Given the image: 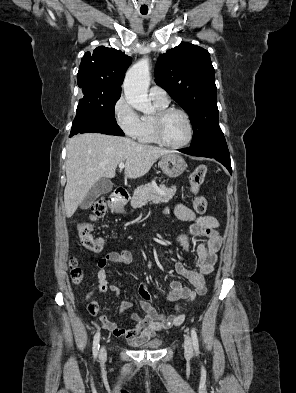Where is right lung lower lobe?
<instances>
[{"label": "right lung lower lobe", "mask_w": 296, "mask_h": 393, "mask_svg": "<svg viewBox=\"0 0 296 393\" xmlns=\"http://www.w3.org/2000/svg\"><path fill=\"white\" fill-rule=\"evenodd\" d=\"M96 132L123 136L124 133L116 123H111L93 115H78L72 123L70 137L78 133Z\"/></svg>", "instance_id": "obj_1"}]
</instances>
